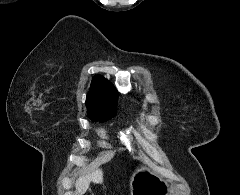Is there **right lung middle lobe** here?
Here are the masks:
<instances>
[{
  "label": "right lung middle lobe",
  "mask_w": 240,
  "mask_h": 195,
  "mask_svg": "<svg viewBox=\"0 0 240 195\" xmlns=\"http://www.w3.org/2000/svg\"><path fill=\"white\" fill-rule=\"evenodd\" d=\"M88 116L92 121L104 122L116 114L117 103L113 105L86 104Z\"/></svg>",
  "instance_id": "1"
}]
</instances>
